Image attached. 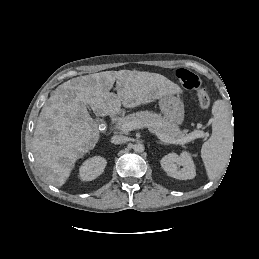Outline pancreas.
I'll return each mask as SVG.
<instances>
[{"mask_svg":"<svg viewBox=\"0 0 259 259\" xmlns=\"http://www.w3.org/2000/svg\"><path fill=\"white\" fill-rule=\"evenodd\" d=\"M128 122L139 123L141 128L148 127L150 129H156L160 133L174 140L182 139L187 135H189V134H186V131H181L179 127L171 120L163 118L161 114H156L153 112L141 111V112L129 114L125 117L120 118L117 122L116 127L123 132L122 126ZM200 131L201 130H195L192 133H196ZM123 133H126V132H123Z\"/></svg>","mask_w":259,"mask_h":259,"instance_id":"obj_1","label":"pancreas"}]
</instances>
